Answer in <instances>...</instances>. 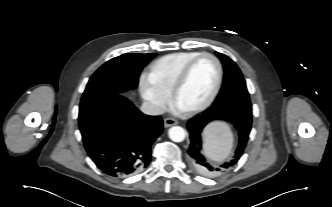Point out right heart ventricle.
Returning <instances> with one entry per match:
<instances>
[{
	"label": "right heart ventricle",
	"instance_id": "right-heart-ventricle-1",
	"mask_svg": "<svg viewBox=\"0 0 332 207\" xmlns=\"http://www.w3.org/2000/svg\"><path fill=\"white\" fill-rule=\"evenodd\" d=\"M200 54L197 51L167 54L154 61L146 74V78L155 87L170 95L173 84L188 61Z\"/></svg>",
	"mask_w": 332,
	"mask_h": 207
}]
</instances>
